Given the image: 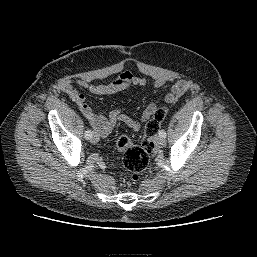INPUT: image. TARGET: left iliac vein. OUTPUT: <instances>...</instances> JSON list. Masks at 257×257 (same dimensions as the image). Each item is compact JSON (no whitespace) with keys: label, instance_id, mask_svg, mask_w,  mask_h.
I'll return each instance as SVG.
<instances>
[{"label":"left iliac vein","instance_id":"1","mask_svg":"<svg viewBox=\"0 0 257 257\" xmlns=\"http://www.w3.org/2000/svg\"><path fill=\"white\" fill-rule=\"evenodd\" d=\"M156 143L159 147H164L166 145V140L165 138L159 136L157 137Z\"/></svg>","mask_w":257,"mask_h":257}]
</instances>
